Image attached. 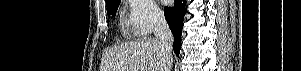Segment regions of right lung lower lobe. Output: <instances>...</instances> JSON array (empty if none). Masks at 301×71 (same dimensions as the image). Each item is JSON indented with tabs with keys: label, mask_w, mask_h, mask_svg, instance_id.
<instances>
[{
	"label": "right lung lower lobe",
	"mask_w": 301,
	"mask_h": 71,
	"mask_svg": "<svg viewBox=\"0 0 301 71\" xmlns=\"http://www.w3.org/2000/svg\"><path fill=\"white\" fill-rule=\"evenodd\" d=\"M183 4H185V0H175L173 7L164 8L166 21L174 36L173 49L177 55L181 49L182 21L186 11Z\"/></svg>",
	"instance_id": "98d812e1"
}]
</instances>
